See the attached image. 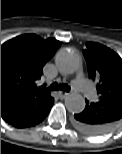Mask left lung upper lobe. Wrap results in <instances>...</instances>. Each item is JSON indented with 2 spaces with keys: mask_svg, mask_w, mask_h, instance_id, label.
<instances>
[{
  "mask_svg": "<svg viewBox=\"0 0 122 154\" xmlns=\"http://www.w3.org/2000/svg\"><path fill=\"white\" fill-rule=\"evenodd\" d=\"M83 50L89 78L97 82L99 100L122 99V59L99 43L88 42Z\"/></svg>",
  "mask_w": 122,
  "mask_h": 154,
  "instance_id": "1",
  "label": "left lung upper lobe"
}]
</instances>
